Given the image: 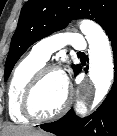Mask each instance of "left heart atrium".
Instances as JSON below:
<instances>
[{
	"instance_id": "obj_1",
	"label": "left heart atrium",
	"mask_w": 117,
	"mask_h": 136,
	"mask_svg": "<svg viewBox=\"0 0 117 136\" xmlns=\"http://www.w3.org/2000/svg\"><path fill=\"white\" fill-rule=\"evenodd\" d=\"M63 81L67 85L68 84V77L65 73H62Z\"/></svg>"
}]
</instances>
